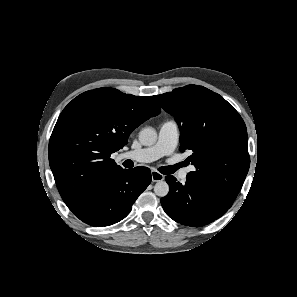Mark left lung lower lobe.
<instances>
[{
	"mask_svg": "<svg viewBox=\"0 0 297 297\" xmlns=\"http://www.w3.org/2000/svg\"><path fill=\"white\" fill-rule=\"evenodd\" d=\"M169 193L161 199L166 214L176 222L187 226H204L223 216L229 207L198 189L190 182H176L166 176Z\"/></svg>",
	"mask_w": 297,
	"mask_h": 297,
	"instance_id": "1",
	"label": "left lung lower lobe"
}]
</instances>
